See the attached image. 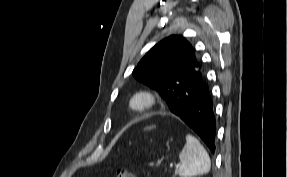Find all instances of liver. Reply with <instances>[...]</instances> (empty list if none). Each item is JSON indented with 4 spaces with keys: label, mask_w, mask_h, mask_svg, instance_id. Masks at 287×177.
<instances>
[{
    "label": "liver",
    "mask_w": 287,
    "mask_h": 177,
    "mask_svg": "<svg viewBox=\"0 0 287 177\" xmlns=\"http://www.w3.org/2000/svg\"><path fill=\"white\" fill-rule=\"evenodd\" d=\"M151 128H153V127H148V128H146V129H151Z\"/></svg>",
    "instance_id": "6515ba94"
}]
</instances>
